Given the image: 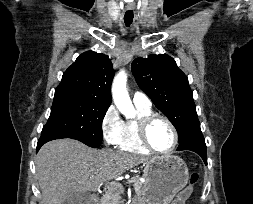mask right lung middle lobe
Returning <instances> with one entry per match:
<instances>
[{
    "label": "right lung middle lobe",
    "mask_w": 253,
    "mask_h": 204,
    "mask_svg": "<svg viewBox=\"0 0 253 204\" xmlns=\"http://www.w3.org/2000/svg\"><path fill=\"white\" fill-rule=\"evenodd\" d=\"M109 105L70 90H55L51 114L41 136L72 138L91 147L102 143V121Z\"/></svg>",
    "instance_id": "1"
}]
</instances>
